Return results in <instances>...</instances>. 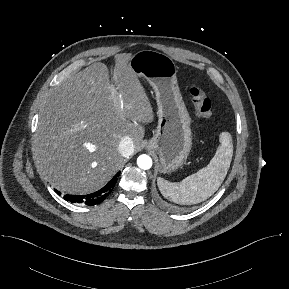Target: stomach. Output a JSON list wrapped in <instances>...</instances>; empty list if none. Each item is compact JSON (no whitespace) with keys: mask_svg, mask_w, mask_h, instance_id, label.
<instances>
[{"mask_svg":"<svg viewBox=\"0 0 289 289\" xmlns=\"http://www.w3.org/2000/svg\"><path fill=\"white\" fill-rule=\"evenodd\" d=\"M138 77L153 87L158 107V126L146 149L159 155V171L178 169L191 150L190 117L177 82V66L172 58L153 50H141L129 60Z\"/></svg>","mask_w":289,"mask_h":289,"instance_id":"0dacf381","label":"stomach"}]
</instances>
